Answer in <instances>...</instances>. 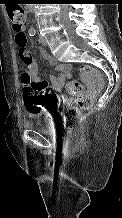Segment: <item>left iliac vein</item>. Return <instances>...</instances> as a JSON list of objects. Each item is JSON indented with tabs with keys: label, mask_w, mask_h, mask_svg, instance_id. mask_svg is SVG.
Returning <instances> with one entry per match:
<instances>
[{
	"label": "left iliac vein",
	"mask_w": 122,
	"mask_h": 218,
	"mask_svg": "<svg viewBox=\"0 0 122 218\" xmlns=\"http://www.w3.org/2000/svg\"><path fill=\"white\" fill-rule=\"evenodd\" d=\"M39 41H40V43H41L43 46L47 47L48 43H47V41H46L45 38L40 37V38H39Z\"/></svg>",
	"instance_id": "left-iliac-vein-1"
}]
</instances>
